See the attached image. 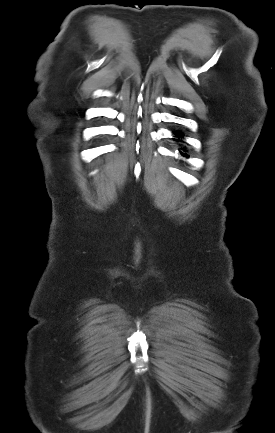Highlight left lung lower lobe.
<instances>
[{"mask_svg":"<svg viewBox=\"0 0 275 433\" xmlns=\"http://www.w3.org/2000/svg\"><path fill=\"white\" fill-rule=\"evenodd\" d=\"M174 134H175V137H178V138L183 136V134L179 131H175ZM176 140L182 142V140H180V139H176ZM182 150H183V152L180 151L181 155L188 158L189 156H188V154H186L187 150H185V149H182Z\"/></svg>","mask_w":275,"mask_h":433,"instance_id":"obj_1","label":"left lung lower lobe"}]
</instances>
